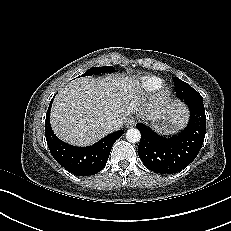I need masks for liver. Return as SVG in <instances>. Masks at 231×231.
I'll return each instance as SVG.
<instances>
[{"label":"liver","instance_id":"obj_1","mask_svg":"<svg viewBox=\"0 0 231 231\" xmlns=\"http://www.w3.org/2000/svg\"><path fill=\"white\" fill-rule=\"evenodd\" d=\"M140 85L134 78L106 76L105 78L82 77L69 82L56 95L50 114L54 133L63 141L77 145L94 144L111 131L107 123L115 118L124 121L127 116L139 112ZM178 127L188 120V112L182 103L170 105ZM158 111L145 114L149 119Z\"/></svg>","mask_w":231,"mask_h":231}]
</instances>
